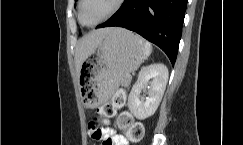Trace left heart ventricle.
Listing matches in <instances>:
<instances>
[{
  "label": "left heart ventricle",
  "mask_w": 243,
  "mask_h": 145,
  "mask_svg": "<svg viewBox=\"0 0 243 145\" xmlns=\"http://www.w3.org/2000/svg\"><path fill=\"white\" fill-rule=\"evenodd\" d=\"M116 0H85L82 8V19L92 25L105 17L115 6Z\"/></svg>",
  "instance_id": "left-heart-ventricle-1"
}]
</instances>
